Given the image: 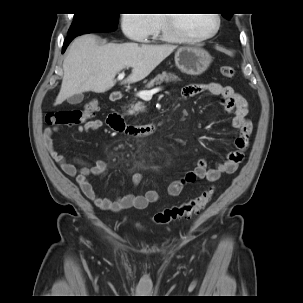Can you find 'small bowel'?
<instances>
[{
	"instance_id": "c3829d8e",
	"label": "small bowel",
	"mask_w": 303,
	"mask_h": 303,
	"mask_svg": "<svg viewBox=\"0 0 303 303\" xmlns=\"http://www.w3.org/2000/svg\"><path fill=\"white\" fill-rule=\"evenodd\" d=\"M203 92H208L214 96L220 97L225 111H234L235 116L232 125L239 130V134L234 140L236 150L229 152L226 160L218 163L214 168H209L205 159H199L194 168L187 171L182 178L169 183L167 193L171 197L179 196L185 186L198 179L216 182L223 174L235 173L244 158V151L249 144L253 126L252 123L245 118L246 102L244 98L237 94L232 87L222 86L219 83L188 84L182 88V97L188 99ZM109 126L115 130L114 123H109ZM105 127L106 124L104 121L92 119L79 125L77 131L84 133L103 130ZM58 131L59 128L44 129V142L50 156L54 162L60 166L64 173L76 178L84 195L97 207L106 211L119 212L131 208L145 209L151 203H156L159 200V193L155 190H148L144 195L128 194L116 200L100 197L89 181L88 176L104 173L107 169V163L104 160L86 161L81 158H74L73 160L66 159L58 152L52 140V136ZM141 181V174H133L132 184L134 187H137Z\"/></svg>"
}]
</instances>
